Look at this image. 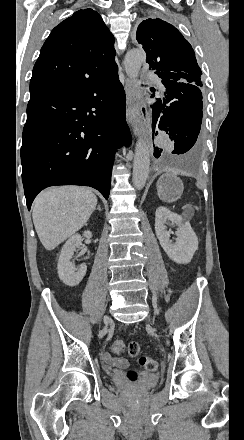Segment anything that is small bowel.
Listing matches in <instances>:
<instances>
[{"instance_id":"small-bowel-1","label":"small bowel","mask_w":244,"mask_h":440,"mask_svg":"<svg viewBox=\"0 0 244 440\" xmlns=\"http://www.w3.org/2000/svg\"><path fill=\"white\" fill-rule=\"evenodd\" d=\"M104 358H105V360L106 361H108V362H110V363H112L113 365H116V366H118V367H121V368H125V367H127V365H128V363H127V361L126 360H115V358H113L110 354H108V353H106L105 355H104Z\"/></svg>"}]
</instances>
